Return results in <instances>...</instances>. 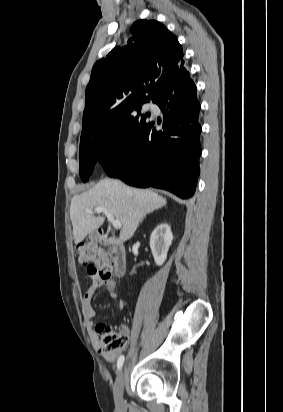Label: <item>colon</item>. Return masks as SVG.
<instances>
[{"label": "colon", "mask_w": 283, "mask_h": 412, "mask_svg": "<svg viewBox=\"0 0 283 412\" xmlns=\"http://www.w3.org/2000/svg\"><path fill=\"white\" fill-rule=\"evenodd\" d=\"M78 260L87 266V273L102 279H110L113 274V261L97 245L82 244L77 248ZM96 332L99 335L100 350L107 356L122 349L128 337L121 330L117 331L111 326L103 323L96 325Z\"/></svg>", "instance_id": "1"}]
</instances>
